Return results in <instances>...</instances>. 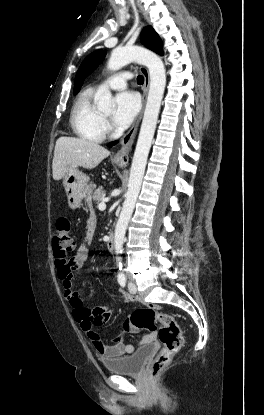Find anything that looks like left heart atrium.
<instances>
[{"label": "left heart atrium", "mask_w": 264, "mask_h": 415, "mask_svg": "<svg viewBox=\"0 0 264 415\" xmlns=\"http://www.w3.org/2000/svg\"><path fill=\"white\" fill-rule=\"evenodd\" d=\"M115 102L113 121L117 127H127L139 110L138 97L131 91H125L116 96Z\"/></svg>", "instance_id": "39dd6f15"}]
</instances>
